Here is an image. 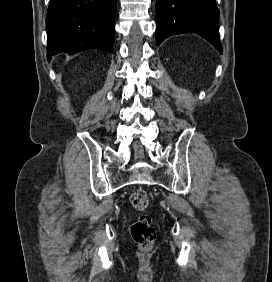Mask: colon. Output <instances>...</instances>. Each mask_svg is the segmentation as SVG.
I'll return each mask as SVG.
<instances>
[{
    "instance_id": "1",
    "label": "colon",
    "mask_w": 272,
    "mask_h": 282,
    "mask_svg": "<svg viewBox=\"0 0 272 282\" xmlns=\"http://www.w3.org/2000/svg\"><path fill=\"white\" fill-rule=\"evenodd\" d=\"M130 202L137 211L141 212L138 219L132 224V238L143 250H149L155 242L156 233L152 218L146 212L149 207V198L146 191L143 189L135 190L130 196Z\"/></svg>"
}]
</instances>
